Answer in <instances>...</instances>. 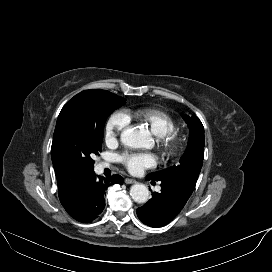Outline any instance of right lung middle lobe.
Returning <instances> with one entry per match:
<instances>
[{
	"instance_id": "1",
	"label": "right lung middle lobe",
	"mask_w": 272,
	"mask_h": 272,
	"mask_svg": "<svg viewBox=\"0 0 272 272\" xmlns=\"http://www.w3.org/2000/svg\"><path fill=\"white\" fill-rule=\"evenodd\" d=\"M126 99L105 90H84L61 110L51 151L68 162L75 175L94 172L107 117Z\"/></svg>"
}]
</instances>
